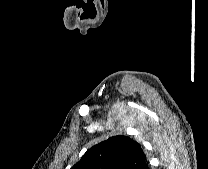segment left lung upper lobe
I'll return each instance as SVG.
<instances>
[{
	"mask_svg": "<svg viewBox=\"0 0 208 169\" xmlns=\"http://www.w3.org/2000/svg\"><path fill=\"white\" fill-rule=\"evenodd\" d=\"M146 166L140 144L118 135L88 149L71 169H145Z\"/></svg>",
	"mask_w": 208,
	"mask_h": 169,
	"instance_id": "obj_1",
	"label": "left lung upper lobe"
}]
</instances>
